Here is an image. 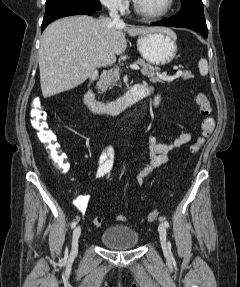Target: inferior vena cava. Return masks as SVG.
I'll use <instances>...</instances> for the list:
<instances>
[{
    "label": "inferior vena cava",
    "mask_w": 240,
    "mask_h": 287,
    "mask_svg": "<svg viewBox=\"0 0 240 287\" xmlns=\"http://www.w3.org/2000/svg\"><path fill=\"white\" fill-rule=\"evenodd\" d=\"M109 15L114 22H121L120 15L118 14L117 11L116 3H113L112 6L110 7Z\"/></svg>",
    "instance_id": "1"
}]
</instances>
